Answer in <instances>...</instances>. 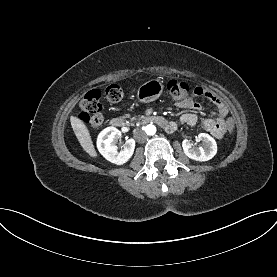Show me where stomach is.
<instances>
[{"label":"stomach","instance_id":"stomach-1","mask_svg":"<svg viewBox=\"0 0 277 277\" xmlns=\"http://www.w3.org/2000/svg\"><path fill=\"white\" fill-rule=\"evenodd\" d=\"M163 88L161 80L151 79L138 87L136 97L142 103H149L161 96Z\"/></svg>","mask_w":277,"mask_h":277}]
</instances>
